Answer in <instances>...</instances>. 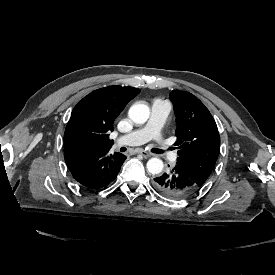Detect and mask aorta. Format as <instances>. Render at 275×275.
<instances>
[{"instance_id":"aorta-1","label":"aorta","mask_w":275,"mask_h":275,"mask_svg":"<svg viewBox=\"0 0 275 275\" xmlns=\"http://www.w3.org/2000/svg\"><path fill=\"white\" fill-rule=\"evenodd\" d=\"M150 115V109L148 105L142 102H138L133 104L129 111L128 117L136 124H144L147 122ZM164 164L162 160L158 158H151L147 162V169L148 171L153 174L157 175L162 172Z\"/></svg>"}]
</instances>
